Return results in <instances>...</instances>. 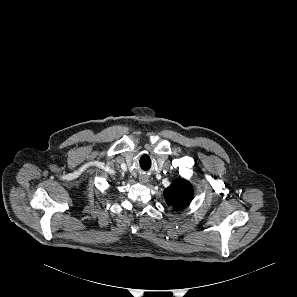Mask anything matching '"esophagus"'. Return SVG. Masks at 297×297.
Instances as JSON below:
<instances>
[{
    "mask_svg": "<svg viewBox=\"0 0 297 297\" xmlns=\"http://www.w3.org/2000/svg\"><path fill=\"white\" fill-rule=\"evenodd\" d=\"M139 182H140L141 184H146V183L148 182V176H146V175H141V176L139 177Z\"/></svg>",
    "mask_w": 297,
    "mask_h": 297,
    "instance_id": "1",
    "label": "esophagus"
}]
</instances>
